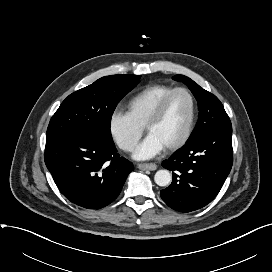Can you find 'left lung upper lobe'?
<instances>
[{
  "instance_id": "5c2ea615",
  "label": "left lung upper lobe",
  "mask_w": 272,
  "mask_h": 272,
  "mask_svg": "<svg viewBox=\"0 0 272 272\" xmlns=\"http://www.w3.org/2000/svg\"><path fill=\"white\" fill-rule=\"evenodd\" d=\"M173 79L186 84L198 101L199 119L189 138L213 128L231 125L229 116L215 95L186 76L175 75Z\"/></svg>"
}]
</instances>
